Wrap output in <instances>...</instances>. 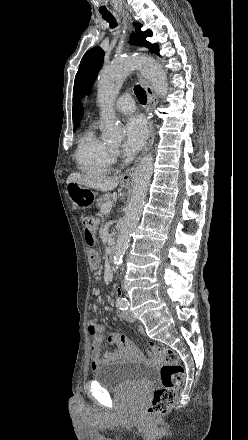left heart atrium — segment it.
I'll return each mask as SVG.
<instances>
[{"mask_svg":"<svg viewBox=\"0 0 248 440\" xmlns=\"http://www.w3.org/2000/svg\"><path fill=\"white\" fill-rule=\"evenodd\" d=\"M124 134L123 151L127 157H131L143 147L147 138V127L143 118L131 117L125 125Z\"/></svg>","mask_w":248,"mask_h":440,"instance_id":"39dd6f15","label":"left heart atrium"}]
</instances>
